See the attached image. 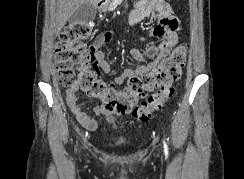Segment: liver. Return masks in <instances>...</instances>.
I'll return each instance as SVG.
<instances>
[{"instance_id":"1","label":"liver","mask_w":244,"mask_h":179,"mask_svg":"<svg viewBox=\"0 0 244 179\" xmlns=\"http://www.w3.org/2000/svg\"><path fill=\"white\" fill-rule=\"evenodd\" d=\"M85 2H90V4H97L99 0H57L58 12L56 22L54 24V34L61 32V28L65 26L69 18L73 16L75 10L85 4Z\"/></svg>"}]
</instances>
